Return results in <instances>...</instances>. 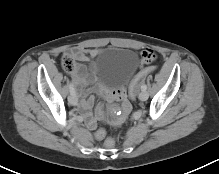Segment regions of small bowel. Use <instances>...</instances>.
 <instances>
[{"label": "small bowel", "instance_id": "small-bowel-1", "mask_svg": "<svg viewBox=\"0 0 219 174\" xmlns=\"http://www.w3.org/2000/svg\"><path fill=\"white\" fill-rule=\"evenodd\" d=\"M101 49H82V48H71L68 51L69 56L77 61L73 70V80L76 86L78 87L79 96L84 97L87 92L85 91V86L92 81V75L88 68L81 64L82 62H87L101 53ZM142 59L146 63L156 64L160 60V55L153 49H148L143 52ZM144 68V67H143ZM141 68V70L143 69ZM140 70V71H141ZM139 71V72H140ZM128 86L125 83L118 85L113 92H106L101 96V99L104 102L118 100L121 104L123 112L122 115H114L111 118V121L114 124H122L125 121V116L128 113L129 108L132 106V103L129 100ZM94 98L89 97L87 100L81 101L80 108L87 116V125L89 128L94 129L96 126V119L89 117V112L93 106ZM104 114L103 106L98 107L96 111V117L101 118Z\"/></svg>", "mask_w": 219, "mask_h": 174}]
</instances>
